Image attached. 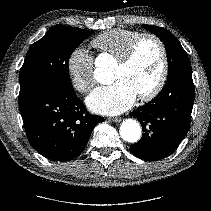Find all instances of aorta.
I'll return each mask as SVG.
<instances>
[{"label": "aorta", "mask_w": 211, "mask_h": 211, "mask_svg": "<svg viewBox=\"0 0 211 211\" xmlns=\"http://www.w3.org/2000/svg\"><path fill=\"white\" fill-rule=\"evenodd\" d=\"M94 77L99 83L104 85H109L114 80L110 68L107 65L101 64L99 61L96 62ZM120 135L127 142H137L141 136V127L136 120L126 119L120 126Z\"/></svg>", "instance_id": "1"}]
</instances>
